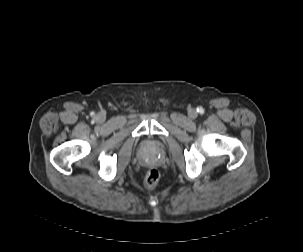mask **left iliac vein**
I'll return each mask as SVG.
<instances>
[{
    "mask_svg": "<svg viewBox=\"0 0 303 252\" xmlns=\"http://www.w3.org/2000/svg\"><path fill=\"white\" fill-rule=\"evenodd\" d=\"M190 116L193 117V118L196 117V112H191Z\"/></svg>",
    "mask_w": 303,
    "mask_h": 252,
    "instance_id": "left-iliac-vein-1",
    "label": "left iliac vein"
}]
</instances>
